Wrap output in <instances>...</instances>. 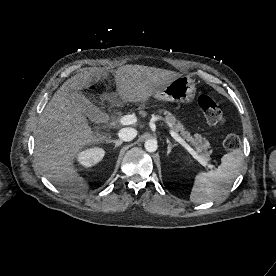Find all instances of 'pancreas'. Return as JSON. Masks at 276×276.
<instances>
[{"instance_id": "1", "label": "pancreas", "mask_w": 276, "mask_h": 276, "mask_svg": "<svg viewBox=\"0 0 276 276\" xmlns=\"http://www.w3.org/2000/svg\"><path fill=\"white\" fill-rule=\"evenodd\" d=\"M164 114L166 115L165 119L167 123L180 135L190 142L198 155H200L202 158H204L206 161L210 159L211 151H208L210 148V143L206 138H203L200 134L196 133L194 136H191V134L185 130L183 125L176 121V118L172 115V113L165 111Z\"/></svg>"}]
</instances>
